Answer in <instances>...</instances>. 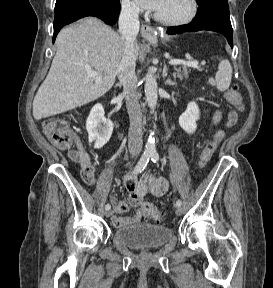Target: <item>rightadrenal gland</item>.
<instances>
[{"mask_svg":"<svg viewBox=\"0 0 273 288\" xmlns=\"http://www.w3.org/2000/svg\"><path fill=\"white\" fill-rule=\"evenodd\" d=\"M115 87L121 88V84H120V83H117V84L115 85Z\"/></svg>","mask_w":273,"mask_h":288,"instance_id":"2a0ac1e0","label":"right adrenal gland"}]
</instances>
